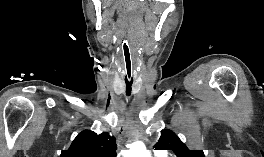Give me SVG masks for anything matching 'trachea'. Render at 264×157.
I'll use <instances>...</instances> for the list:
<instances>
[{
	"instance_id": "1",
	"label": "trachea",
	"mask_w": 264,
	"mask_h": 157,
	"mask_svg": "<svg viewBox=\"0 0 264 157\" xmlns=\"http://www.w3.org/2000/svg\"><path fill=\"white\" fill-rule=\"evenodd\" d=\"M123 56V78L126 84V95H130L132 91V85L134 82V68L132 53L127 43L122 45Z\"/></svg>"
}]
</instances>
